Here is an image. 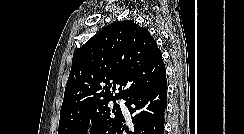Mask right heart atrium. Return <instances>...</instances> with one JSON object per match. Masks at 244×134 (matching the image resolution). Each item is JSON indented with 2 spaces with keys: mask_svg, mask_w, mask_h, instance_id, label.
<instances>
[{
  "mask_svg": "<svg viewBox=\"0 0 244 134\" xmlns=\"http://www.w3.org/2000/svg\"><path fill=\"white\" fill-rule=\"evenodd\" d=\"M88 134H95V128L93 126L88 128Z\"/></svg>",
  "mask_w": 244,
  "mask_h": 134,
  "instance_id": "1",
  "label": "right heart atrium"
}]
</instances>
